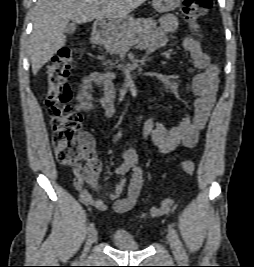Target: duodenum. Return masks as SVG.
Segmentation results:
<instances>
[{"label":"duodenum","mask_w":254,"mask_h":267,"mask_svg":"<svg viewBox=\"0 0 254 267\" xmlns=\"http://www.w3.org/2000/svg\"><path fill=\"white\" fill-rule=\"evenodd\" d=\"M105 28H106V23L104 21H98L94 24L91 35H90L91 43L98 44L103 40L104 34H105ZM135 76L136 74L130 76L126 80V84L128 86H130L133 83Z\"/></svg>","instance_id":"duodenum-1"}]
</instances>
